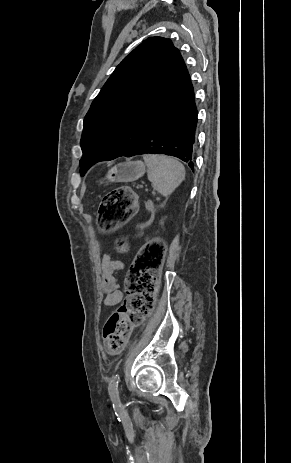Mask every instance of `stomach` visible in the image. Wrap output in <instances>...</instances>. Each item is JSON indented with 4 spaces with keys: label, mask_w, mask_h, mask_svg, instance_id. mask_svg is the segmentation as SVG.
<instances>
[{
    "label": "stomach",
    "mask_w": 291,
    "mask_h": 463,
    "mask_svg": "<svg viewBox=\"0 0 291 463\" xmlns=\"http://www.w3.org/2000/svg\"><path fill=\"white\" fill-rule=\"evenodd\" d=\"M145 170L141 161L120 163L108 171L106 179L109 182H133L142 177Z\"/></svg>",
    "instance_id": "1"
}]
</instances>
